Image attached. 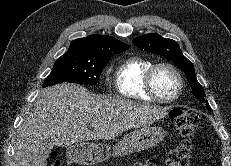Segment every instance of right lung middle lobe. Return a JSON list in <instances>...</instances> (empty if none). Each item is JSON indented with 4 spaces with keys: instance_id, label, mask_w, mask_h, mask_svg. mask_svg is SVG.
I'll return each mask as SVG.
<instances>
[{
    "instance_id": "right-lung-middle-lobe-1",
    "label": "right lung middle lobe",
    "mask_w": 231,
    "mask_h": 166,
    "mask_svg": "<svg viewBox=\"0 0 231 166\" xmlns=\"http://www.w3.org/2000/svg\"><path fill=\"white\" fill-rule=\"evenodd\" d=\"M111 56L112 54L93 57L65 53L55 62L51 73L43 83V87L62 82L96 85L99 83L101 72Z\"/></svg>"
}]
</instances>
